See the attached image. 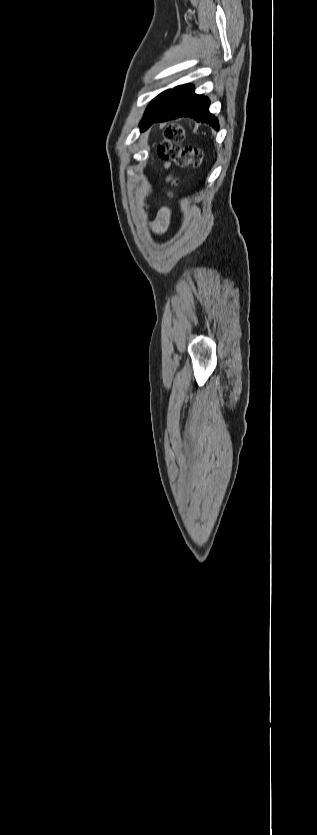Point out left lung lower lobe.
<instances>
[{
    "mask_svg": "<svg viewBox=\"0 0 317 835\" xmlns=\"http://www.w3.org/2000/svg\"><path fill=\"white\" fill-rule=\"evenodd\" d=\"M209 104L210 101L207 97L194 93L192 85H179L172 90L161 109L143 123L141 130H146L154 122H165L182 117H189L197 122L207 123L218 130V119L209 112Z\"/></svg>",
    "mask_w": 317,
    "mask_h": 835,
    "instance_id": "1",
    "label": "left lung lower lobe"
}]
</instances>
